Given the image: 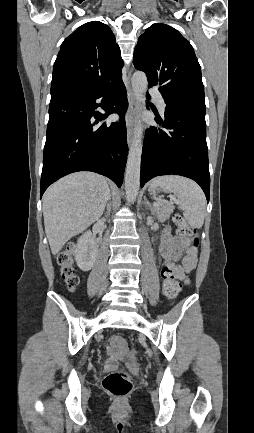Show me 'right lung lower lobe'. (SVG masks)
<instances>
[{
  "mask_svg": "<svg viewBox=\"0 0 254 433\" xmlns=\"http://www.w3.org/2000/svg\"><path fill=\"white\" fill-rule=\"evenodd\" d=\"M99 98L102 104L96 103ZM98 107L106 114L95 111ZM127 107L122 80L99 89L51 94L40 197L50 184L77 171L102 174L121 186L128 154ZM112 113L120 115L119 122L97 125Z\"/></svg>",
  "mask_w": 254,
  "mask_h": 433,
  "instance_id": "98d812e1",
  "label": "right lung lower lobe"
}]
</instances>
